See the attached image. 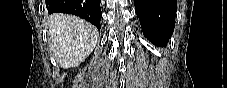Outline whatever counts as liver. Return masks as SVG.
Segmentation results:
<instances>
[{
    "instance_id": "1",
    "label": "liver",
    "mask_w": 227,
    "mask_h": 88,
    "mask_svg": "<svg viewBox=\"0 0 227 88\" xmlns=\"http://www.w3.org/2000/svg\"><path fill=\"white\" fill-rule=\"evenodd\" d=\"M47 28L54 58L65 69L82 63L98 43L96 28L72 15L51 14Z\"/></svg>"
}]
</instances>
